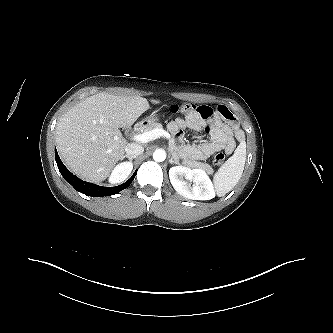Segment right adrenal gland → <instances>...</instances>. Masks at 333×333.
Listing matches in <instances>:
<instances>
[{"label": "right adrenal gland", "instance_id": "obj_1", "mask_svg": "<svg viewBox=\"0 0 333 333\" xmlns=\"http://www.w3.org/2000/svg\"><path fill=\"white\" fill-rule=\"evenodd\" d=\"M123 158H127L129 161L133 160L136 157H132V156H128V155H124Z\"/></svg>", "mask_w": 333, "mask_h": 333}]
</instances>
